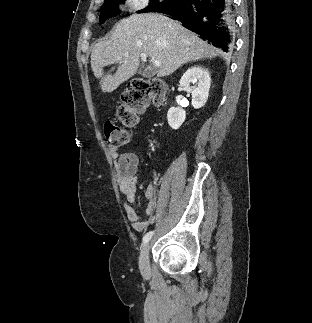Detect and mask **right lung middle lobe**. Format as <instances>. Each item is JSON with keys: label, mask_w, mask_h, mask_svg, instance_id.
<instances>
[{"label": "right lung middle lobe", "mask_w": 312, "mask_h": 323, "mask_svg": "<svg viewBox=\"0 0 312 323\" xmlns=\"http://www.w3.org/2000/svg\"><path fill=\"white\" fill-rule=\"evenodd\" d=\"M124 0H113L109 3L103 4L101 7L100 21L103 22L107 18L119 14L118 4ZM181 0H150V5L145 9L138 11L142 12H159L160 10L171 8L179 3Z\"/></svg>", "instance_id": "obj_1"}]
</instances>
